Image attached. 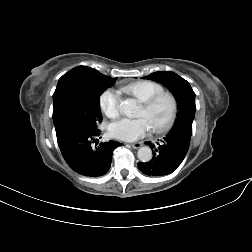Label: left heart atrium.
Wrapping results in <instances>:
<instances>
[{
  "mask_svg": "<svg viewBox=\"0 0 252 252\" xmlns=\"http://www.w3.org/2000/svg\"><path fill=\"white\" fill-rule=\"evenodd\" d=\"M145 118H121L109 127V132L114 138L124 141H134L143 137L149 130Z\"/></svg>",
  "mask_w": 252,
  "mask_h": 252,
  "instance_id": "1",
  "label": "left heart atrium"
}]
</instances>
